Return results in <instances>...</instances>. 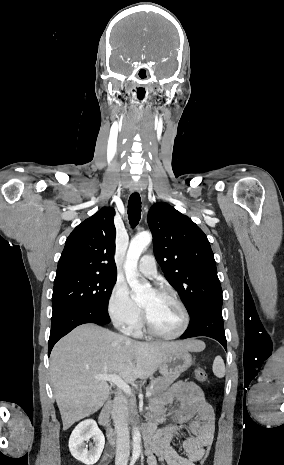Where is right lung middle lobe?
Listing matches in <instances>:
<instances>
[{"label":"right lung middle lobe","mask_w":284,"mask_h":465,"mask_svg":"<svg viewBox=\"0 0 284 465\" xmlns=\"http://www.w3.org/2000/svg\"><path fill=\"white\" fill-rule=\"evenodd\" d=\"M117 277L69 275L54 280L52 295L55 316L67 308L84 306L108 310V301Z\"/></svg>","instance_id":"right-lung-middle-lobe-1"}]
</instances>
